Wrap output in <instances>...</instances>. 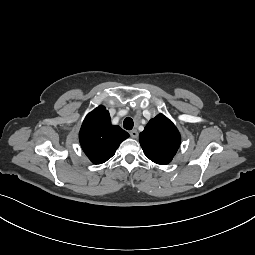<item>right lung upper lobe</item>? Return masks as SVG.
<instances>
[{"instance_id": "1", "label": "right lung upper lobe", "mask_w": 255, "mask_h": 255, "mask_svg": "<svg viewBox=\"0 0 255 255\" xmlns=\"http://www.w3.org/2000/svg\"><path fill=\"white\" fill-rule=\"evenodd\" d=\"M128 137L129 134L119 126L111 125L109 112L104 106L97 107L86 116L79 133L81 147L94 164L110 159Z\"/></svg>"}]
</instances>
